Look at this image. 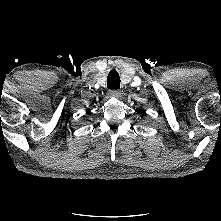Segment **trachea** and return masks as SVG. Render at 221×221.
Masks as SVG:
<instances>
[{
  "instance_id": "3493384b",
  "label": "trachea",
  "mask_w": 221,
  "mask_h": 221,
  "mask_svg": "<svg viewBox=\"0 0 221 221\" xmlns=\"http://www.w3.org/2000/svg\"><path fill=\"white\" fill-rule=\"evenodd\" d=\"M107 87L109 89H119L120 88V77L116 70H111L107 77Z\"/></svg>"
}]
</instances>
